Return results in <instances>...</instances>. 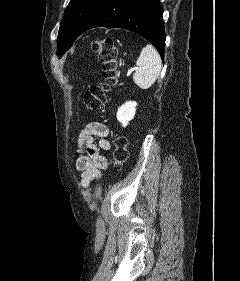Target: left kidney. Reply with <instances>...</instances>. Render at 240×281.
Segmentation results:
<instances>
[{
    "label": "left kidney",
    "mask_w": 240,
    "mask_h": 281,
    "mask_svg": "<svg viewBox=\"0 0 240 281\" xmlns=\"http://www.w3.org/2000/svg\"><path fill=\"white\" fill-rule=\"evenodd\" d=\"M137 103L134 101H128L119 107L117 111V120L122 124L123 127H126L130 120L135 116Z\"/></svg>",
    "instance_id": "obj_1"
}]
</instances>
